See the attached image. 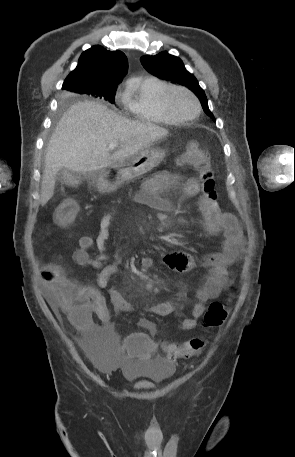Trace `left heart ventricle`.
Listing matches in <instances>:
<instances>
[{"label": "left heart ventricle", "instance_id": "obj_1", "mask_svg": "<svg viewBox=\"0 0 295 457\" xmlns=\"http://www.w3.org/2000/svg\"><path fill=\"white\" fill-rule=\"evenodd\" d=\"M171 104L179 116L190 117L195 113L194 101L184 92H175L171 97Z\"/></svg>", "mask_w": 295, "mask_h": 457}]
</instances>
